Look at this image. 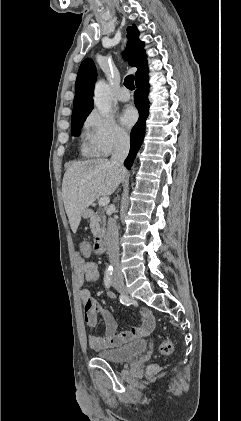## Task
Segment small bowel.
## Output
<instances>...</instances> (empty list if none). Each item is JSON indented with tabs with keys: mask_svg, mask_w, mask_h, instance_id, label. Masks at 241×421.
<instances>
[{
	"mask_svg": "<svg viewBox=\"0 0 241 421\" xmlns=\"http://www.w3.org/2000/svg\"><path fill=\"white\" fill-rule=\"evenodd\" d=\"M78 285L81 287L80 299L82 312L86 325L94 328L97 324V314L99 313L105 324L104 336L89 335V347L96 351H102L120 346L136 338L149 335L155 328V319L152 312L147 308L140 309L141 324L129 331L116 332V321L113 314L103 307L94 297L90 289L85 288L86 284H96L99 279L98 266L95 262L87 261L82 256L77 257ZM108 295L114 297V293L109 291Z\"/></svg>",
	"mask_w": 241,
	"mask_h": 421,
	"instance_id": "obj_1",
	"label": "small bowel"
}]
</instances>
